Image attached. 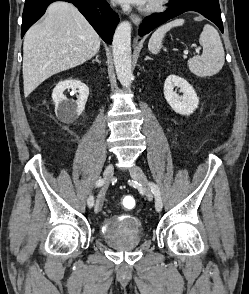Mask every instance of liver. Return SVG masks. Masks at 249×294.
<instances>
[{
  "label": "liver",
  "mask_w": 249,
  "mask_h": 294,
  "mask_svg": "<svg viewBox=\"0 0 249 294\" xmlns=\"http://www.w3.org/2000/svg\"><path fill=\"white\" fill-rule=\"evenodd\" d=\"M100 41L76 7L67 2L52 3L45 18L24 36L25 97L52 75L90 60L99 51Z\"/></svg>",
  "instance_id": "obj_1"
}]
</instances>
